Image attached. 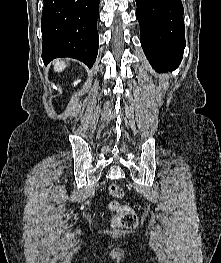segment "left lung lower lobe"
Returning <instances> with one entry per match:
<instances>
[{
	"instance_id": "0a47b994",
	"label": "left lung lower lobe",
	"mask_w": 221,
	"mask_h": 263,
	"mask_svg": "<svg viewBox=\"0 0 221 263\" xmlns=\"http://www.w3.org/2000/svg\"><path fill=\"white\" fill-rule=\"evenodd\" d=\"M141 45L157 71L178 68L185 48L181 0H136Z\"/></svg>"
}]
</instances>
